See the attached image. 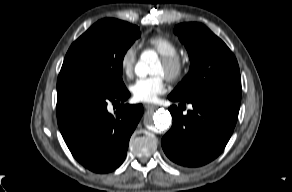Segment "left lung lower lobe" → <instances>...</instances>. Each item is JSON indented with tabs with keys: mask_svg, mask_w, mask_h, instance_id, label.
I'll return each mask as SVG.
<instances>
[{
	"mask_svg": "<svg viewBox=\"0 0 292 192\" xmlns=\"http://www.w3.org/2000/svg\"><path fill=\"white\" fill-rule=\"evenodd\" d=\"M181 105L191 103L186 115L172 105L171 129L162 138V148L173 162L199 167L214 160L225 148L234 130L241 96L232 94L201 95L187 100L169 95Z\"/></svg>",
	"mask_w": 292,
	"mask_h": 192,
	"instance_id": "obj_1",
	"label": "left lung lower lobe"
}]
</instances>
